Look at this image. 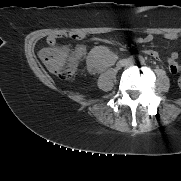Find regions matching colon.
<instances>
[{
  "mask_svg": "<svg viewBox=\"0 0 181 181\" xmlns=\"http://www.w3.org/2000/svg\"><path fill=\"white\" fill-rule=\"evenodd\" d=\"M40 59L46 68L62 80L72 79L76 73L77 55L65 49L46 48L40 52ZM181 89V75L178 78Z\"/></svg>",
  "mask_w": 181,
  "mask_h": 181,
  "instance_id": "1",
  "label": "colon"
}]
</instances>
